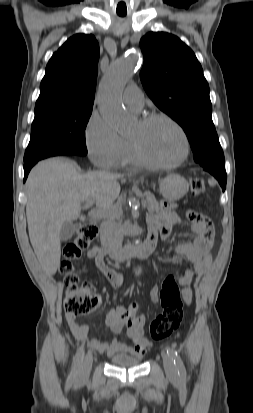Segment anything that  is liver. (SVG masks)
Returning a JSON list of instances; mask_svg holds the SVG:
<instances>
[{"label":"liver","mask_w":253,"mask_h":413,"mask_svg":"<svg viewBox=\"0 0 253 413\" xmlns=\"http://www.w3.org/2000/svg\"><path fill=\"white\" fill-rule=\"evenodd\" d=\"M77 167L66 158L47 159L31 170L26 182L30 242L49 275H54L60 264L62 225L78 219L87 199H93L99 210H108L120 193L118 179L122 175L105 171L81 174Z\"/></svg>","instance_id":"liver-1"}]
</instances>
